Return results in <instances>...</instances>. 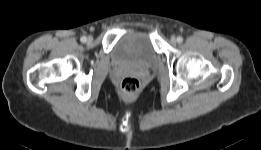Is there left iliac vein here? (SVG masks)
Masks as SVG:
<instances>
[{"mask_svg": "<svg viewBox=\"0 0 261 150\" xmlns=\"http://www.w3.org/2000/svg\"><path fill=\"white\" fill-rule=\"evenodd\" d=\"M176 41H177L176 38H175L174 36H172V37H171V42H172V43H176Z\"/></svg>", "mask_w": 261, "mask_h": 150, "instance_id": "1", "label": "left iliac vein"}]
</instances>
